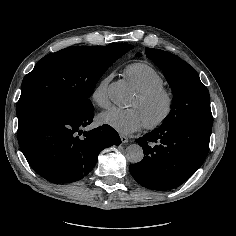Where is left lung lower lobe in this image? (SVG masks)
<instances>
[{"label":"left lung lower lobe","instance_id":"1","mask_svg":"<svg viewBox=\"0 0 236 236\" xmlns=\"http://www.w3.org/2000/svg\"><path fill=\"white\" fill-rule=\"evenodd\" d=\"M212 125L186 122L162 126L136 139L142 161L129 166L143 187L170 190L189 179L203 164L209 150Z\"/></svg>","mask_w":236,"mask_h":236}]
</instances>
